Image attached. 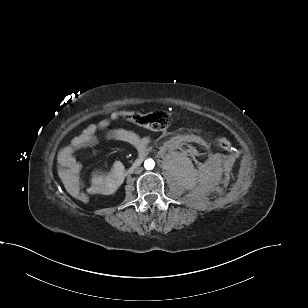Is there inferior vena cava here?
<instances>
[{
    "mask_svg": "<svg viewBox=\"0 0 308 308\" xmlns=\"http://www.w3.org/2000/svg\"><path fill=\"white\" fill-rule=\"evenodd\" d=\"M142 170H143V169H142L141 167L136 168V169H135V173H136V174H139V173L142 172Z\"/></svg>",
    "mask_w": 308,
    "mask_h": 308,
    "instance_id": "obj_1",
    "label": "inferior vena cava"
}]
</instances>
